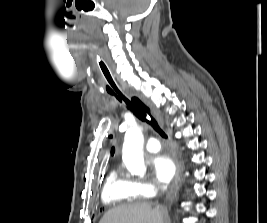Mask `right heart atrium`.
<instances>
[{"mask_svg": "<svg viewBox=\"0 0 267 223\" xmlns=\"http://www.w3.org/2000/svg\"><path fill=\"white\" fill-rule=\"evenodd\" d=\"M133 184L135 187V192L138 196L149 197L152 196L156 191L155 185L145 181H135Z\"/></svg>", "mask_w": 267, "mask_h": 223, "instance_id": "d8ad5b80", "label": "right heart atrium"}]
</instances>
